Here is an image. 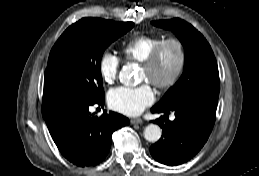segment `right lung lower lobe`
I'll return each mask as SVG.
<instances>
[{"instance_id":"98d812e1","label":"right lung lower lobe","mask_w":259,"mask_h":176,"mask_svg":"<svg viewBox=\"0 0 259 176\" xmlns=\"http://www.w3.org/2000/svg\"><path fill=\"white\" fill-rule=\"evenodd\" d=\"M104 103V95L92 100L66 96L43 99L42 115L52 139L62 155L77 166L100 163L110 150L112 133L129 124L115 112L105 111L100 117L89 112V106Z\"/></svg>"}]
</instances>
